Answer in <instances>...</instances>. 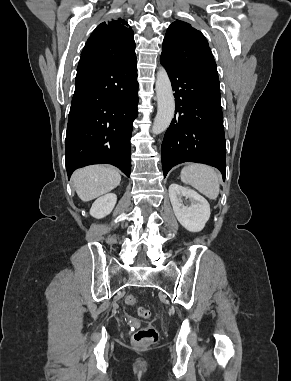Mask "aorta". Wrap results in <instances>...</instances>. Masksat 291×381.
<instances>
[{"label": "aorta", "mask_w": 291, "mask_h": 381, "mask_svg": "<svg viewBox=\"0 0 291 381\" xmlns=\"http://www.w3.org/2000/svg\"><path fill=\"white\" fill-rule=\"evenodd\" d=\"M155 89L157 95V114L152 126V133L157 135L169 127L175 111L171 82L163 67L157 72Z\"/></svg>", "instance_id": "aorta-1"}]
</instances>
